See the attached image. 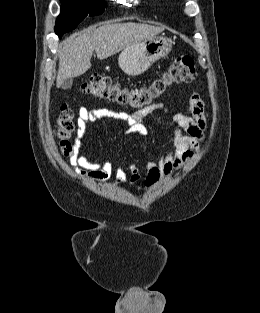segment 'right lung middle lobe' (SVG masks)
Here are the masks:
<instances>
[{
	"instance_id": "dd1d6c3e",
	"label": "right lung middle lobe",
	"mask_w": 260,
	"mask_h": 313,
	"mask_svg": "<svg viewBox=\"0 0 260 313\" xmlns=\"http://www.w3.org/2000/svg\"><path fill=\"white\" fill-rule=\"evenodd\" d=\"M61 13L57 17L55 33L62 37L77 27L86 16L100 15L104 12V0H61Z\"/></svg>"
}]
</instances>
